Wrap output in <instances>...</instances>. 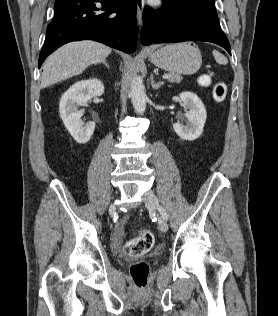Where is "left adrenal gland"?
Wrapping results in <instances>:
<instances>
[{
	"mask_svg": "<svg viewBox=\"0 0 278 316\" xmlns=\"http://www.w3.org/2000/svg\"><path fill=\"white\" fill-rule=\"evenodd\" d=\"M162 85H164V82H158V83H155L154 80H153V75H151V86L153 89H159Z\"/></svg>",
	"mask_w": 278,
	"mask_h": 316,
	"instance_id": "a2214340",
	"label": "left adrenal gland"
}]
</instances>
